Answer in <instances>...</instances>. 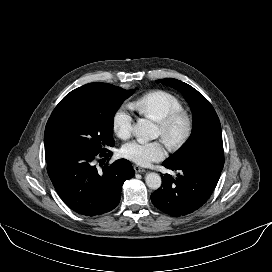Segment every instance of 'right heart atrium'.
<instances>
[{
    "label": "right heart atrium",
    "instance_id": "right-heart-atrium-1",
    "mask_svg": "<svg viewBox=\"0 0 272 272\" xmlns=\"http://www.w3.org/2000/svg\"><path fill=\"white\" fill-rule=\"evenodd\" d=\"M112 127L116 135L121 139L131 136L133 129V117L125 106L119 107L112 118Z\"/></svg>",
    "mask_w": 272,
    "mask_h": 272
}]
</instances>
